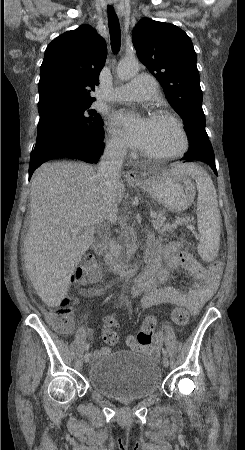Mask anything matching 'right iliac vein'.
<instances>
[{"label":"right iliac vein","mask_w":245,"mask_h":450,"mask_svg":"<svg viewBox=\"0 0 245 450\" xmlns=\"http://www.w3.org/2000/svg\"><path fill=\"white\" fill-rule=\"evenodd\" d=\"M90 358H91V354H90L89 352H87V353L84 355V361H85V363H88V362L90 361Z\"/></svg>","instance_id":"63e3f726"}]
</instances>
